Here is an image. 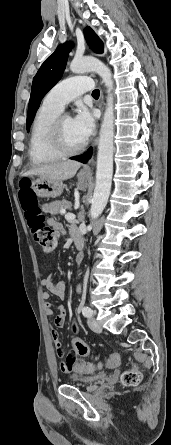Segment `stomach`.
Instances as JSON below:
<instances>
[{
  "instance_id": "obj_1",
  "label": "stomach",
  "mask_w": 171,
  "mask_h": 445,
  "mask_svg": "<svg viewBox=\"0 0 171 445\" xmlns=\"http://www.w3.org/2000/svg\"><path fill=\"white\" fill-rule=\"evenodd\" d=\"M87 177H79L80 182H85ZM31 188L41 198H56L63 192L61 181H54L45 178L31 179Z\"/></svg>"
}]
</instances>
